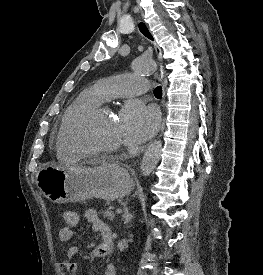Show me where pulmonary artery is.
<instances>
[{
    "label": "pulmonary artery",
    "instance_id": "obj_1",
    "mask_svg": "<svg viewBox=\"0 0 263 275\" xmlns=\"http://www.w3.org/2000/svg\"><path fill=\"white\" fill-rule=\"evenodd\" d=\"M97 86L105 100L137 96L148 90V84L144 78L129 73L103 79Z\"/></svg>",
    "mask_w": 263,
    "mask_h": 275
}]
</instances>
